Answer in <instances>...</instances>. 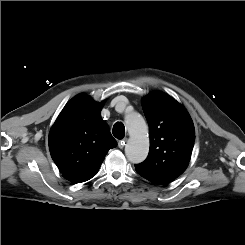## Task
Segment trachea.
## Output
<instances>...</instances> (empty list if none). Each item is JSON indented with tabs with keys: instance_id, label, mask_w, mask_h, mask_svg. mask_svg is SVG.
I'll return each mask as SVG.
<instances>
[{
	"instance_id": "3493384b",
	"label": "trachea",
	"mask_w": 245,
	"mask_h": 245,
	"mask_svg": "<svg viewBox=\"0 0 245 245\" xmlns=\"http://www.w3.org/2000/svg\"><path fill=\"white\" fill-rule=\"evenodd\" d=\"M113 135L117 139H122L125 135V127L122 122H116L113 126Z\"/></svg>"
}]
</instances>
